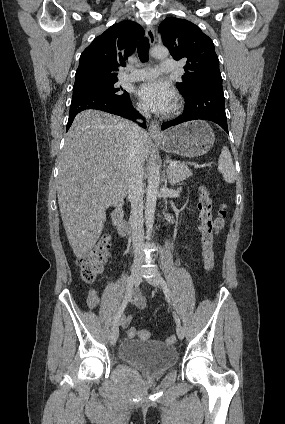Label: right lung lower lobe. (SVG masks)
<instances>
[{
  "label": "right lung lower lobe",
  "mask_w": 285,
  "mask_h": 424,
  "mask_svg": "<svg viewBox=\"0 0 285 424\" xmlns=\"http://www.w3.org/2000/svg\"><path fill=\"white\" fill-rule=\"evenodd\" d=\"M86 109L102 110L131 120H135L136 118L144 119L142 115L133 108L130 98L118 100L95 94L75 95L72 97L66 130L70 128L74 117L79 112ZM139 125L146 128L145 123H139Z\"/></svg>",
  "instance_id": "right-lung-lower-lobe-1"
}]
</instances>
